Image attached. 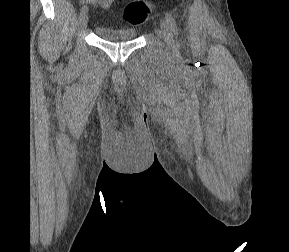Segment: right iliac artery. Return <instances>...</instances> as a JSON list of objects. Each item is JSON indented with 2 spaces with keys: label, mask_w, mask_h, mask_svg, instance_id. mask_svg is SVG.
I'll return each mask as SVG.
<instances>
[{
  "label": "right iliac artery",
  "mask_w": 289,
  "mask_h": 252,
  "mask_svg": "<svg viewBox=\"0 0 289 252\" xmlns=\"http://www.w3.org/2000/svg\"><path fill=\"white\" fill-rule=\"evenodd\" d=\"M80 11H81V13H87L88 12V7L87 6H83Z\"/></svg>",
  "instance_id": "82829eb1"
}]
</instances>
